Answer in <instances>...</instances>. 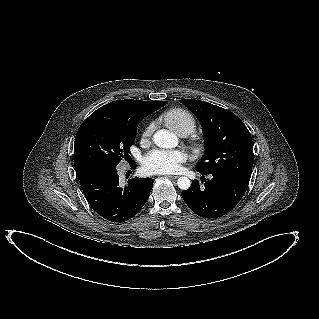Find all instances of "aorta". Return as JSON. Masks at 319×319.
I'll return each instance as SVG.
<instances>
[{"instance_id": "762f6f07", "label": "aorta", "mask_w": 319, "mask_h": 319, "mask_svg": "<svg viewBox=\"0 0 319 319\" xmlns=\"http://www.w3.org/2000/svg\"><path fill=\"white\" fill-rule=\"evenodd\" d=\"M154 143L161 148H174L177 146V137L168 130L162 129L153 135ZM178 187L182 190H187L191 186V181L188 177H180L177 180Z\"/></svg>"}]
</instances>
